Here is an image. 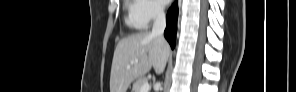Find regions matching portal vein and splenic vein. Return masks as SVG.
Returning a JSON list of instances; mask_svg holds the SVG:
<instances>
[{"mask_svg":"<svg viewBox=\"0 0 296 92\" xmlns=\"http://www.w3.org/2000/svg\"><path fill=\"white\" fill-rule=\"evenodd\" d=\"M135 63H138V59L132 60V61L130 62L131 65H133V64H135ZM149 89H150L149 83L146 82V83H144V84L141 86V88H140V92H148Z\"/></svg>","mask_w":296,"mask_h":92,"instance_id":"portal-vein-and-splenic-vein-1","label":"portal vein and splenic vein"}]
</instances>
